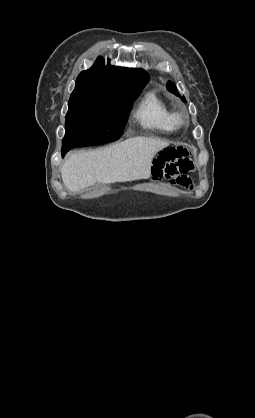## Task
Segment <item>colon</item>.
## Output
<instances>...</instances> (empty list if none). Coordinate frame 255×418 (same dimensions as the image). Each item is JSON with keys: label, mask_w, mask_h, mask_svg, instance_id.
<instances>
[{"label": "colon", "mask_w": 255, "mask_h": 418, "mask_svg": "<svg viewBox=\"0 0 255 418\" xmlns=\"http://www.w3.org/2000/svg\"><path fill=\"white\" fill-rule=\"evenodd\" d=\"M193 170L190 152L185 147H170L160 153L152 167L154 180L167 179L183 187H190L188 174Z\"/></svg>", "instance_id": "obj_1"}]
</instances>
